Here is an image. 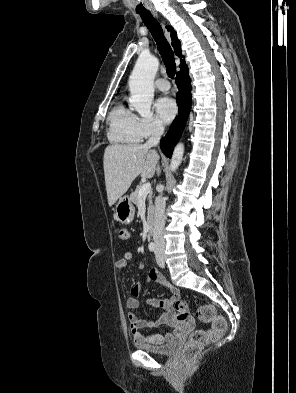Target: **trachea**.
Instances as JSON below:
<instances>
[{
	"label": "trachea",
	"mask_w": 296,
	"mask_h": 393,
	"mask_svg": "<svg viewBox=\"0 0 296 393\" xmlns=\"http://www.w3.org/2000/svg\"><path fill=\"white\" fill-rule=\"evenodd\" d=\"M139 15L156 41L159 53L163 59L169 77L173 78L176 73L174 53L163 34L161 25L149 11L140 12Z\"/></svg>",
	"instance_id": "3493384b"
}]
</instances>
